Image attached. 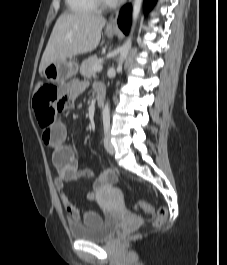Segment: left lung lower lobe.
<instances>
[{
  "label": "left lung lower lobe",
  "mask_w": 227,
  "mask_h": 265,
  "mask_svg": "<svg viewBox=\"0 0 227 265\" xmlns=\"http://www.w3.org/2000/svg\"><path fill=\"white\" fill-rule=\"evenodd\" d=\"M156 0H146L145 7L149 9L155 3ZM131 24V6L126 5L122 8L119 18H118V26L125 33L128 34L129 28Z\"/></svg>",
  "instance_id": "obj_1"
}]
</instances>
